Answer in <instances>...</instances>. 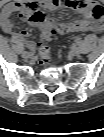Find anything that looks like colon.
<instances>
[{
	"mask_svg": "<svg viewBox=\"0 0 104 137\" xmlns=\"http://www.w3.org/2000/svg\"><path fill=\"white\" fill-rule=\"evenodd\" d=\"M31 19L35 23H44L48 18L45 12L35 11ZM57 34L58 31L54 27H49L46 30L42 31V37L39 40L38 47L43 62H47L49 60L48 42L54 39L57 36Z\"/></svg>",
	"mask_w": 104,
	"mask_h": 137,
	"instance_id": "obj_1",
	"label": "colon"
}]
</instances>
